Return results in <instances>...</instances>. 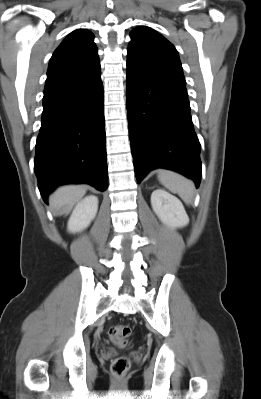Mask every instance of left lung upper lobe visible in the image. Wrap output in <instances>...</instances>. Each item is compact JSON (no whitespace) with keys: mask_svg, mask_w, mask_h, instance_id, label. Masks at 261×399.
Returning <instances> with one entry per match:
<instances>
[{"mask_svg":"<svg viewBox=\"0 0 261 399\" xmlns=\"http://www.w3.org/2000/svg\"><path fill=\"white\" fill-rule=\"evenodd\" d=\"M130 36L127 68L144 76L186 83L178 52L167 39L146 26L135 28Z\"/></svg>","mask_w":261,"mask_h":399,"instance_id":"left-lung-upper-lobe-1","label":"left lung upper lobe"}]
</instances>
